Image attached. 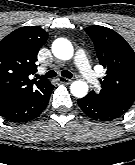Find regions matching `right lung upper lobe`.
Segmentation results:
<instances>
[{
    "label": "right lung upper lobe",
    "instance_id": "cb5924a9",
    "mask_svg": "<svg viewBox=\"0 0 135 165\" xmlns=\"http://www.w3.org/2000/svg\"><path fill=\"white\" fill-rule=\"evenodd\" d=\"M48 33L37 26H25L0 41V101L22 93L45 94L47 80L30 79L37 72V54Z\"/></svg>",
    "mask_w": 135,
    "mask_h": 165
}]
</instances>
